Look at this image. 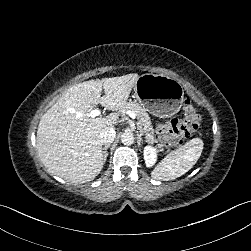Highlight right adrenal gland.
I'll use <instances>...</instances> for the list:
<instances>
[{
    "instance_id": "1",
    "label": "right adrenal gland",
    "mask_w": 251,
    "mask_h": 251,
    "mask_svg": "<svg viewBox=\"0 0 251 251\" xmlns=\"http://www.w3.org/2000/svg\"><path fill=\"white\" fill-rule=\"evenodd\" d=\"M110 143H107L105 144V146L102 148V159H103V162L105 163L106 160H107V156H108V147H109Z\"/></svg>"
}]
</instances>
